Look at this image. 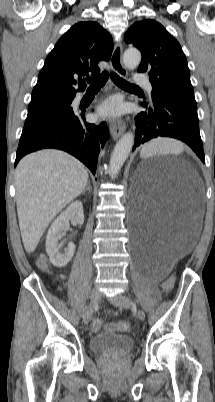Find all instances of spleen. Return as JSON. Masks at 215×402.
<instances>
[{"instance_id":"3e777b00","label":"spleen","mask_w":215,"mask_h":402,"mask_svg":"<svg viewBox=\"0 0 215 402\" xmlns=\"http://www.w3.org/2000/svg\"><path fill=\"white\" fill-rule=\"evenodd\" d=\"M180 149V145L169 139H158L146 145L141 154L144 156L153 155L156 153H169Z\"/></svg>"}]
</instances>
